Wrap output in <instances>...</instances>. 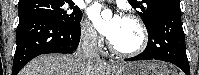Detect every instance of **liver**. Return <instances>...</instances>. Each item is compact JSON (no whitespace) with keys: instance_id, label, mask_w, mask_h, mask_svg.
Instances as JSON below:
<instances>
[{"instance_id":"6515ba94","label":"liver","mask_w":199,"mask_h":75,"mask_svg":"<svg viewBox=\"0 0 199 75\" xmlns=\"http://www.w3.org/2000/svg\"><path fill=\"white\" fill-rule=\"evenodd\" d=\"M87 60L80 53L71 55H41L29 62L19 75H87ZM89 75H110L107 64L101 60L93 62ZM175 73V72H173Z\"/></svg>"}]
</instances>
